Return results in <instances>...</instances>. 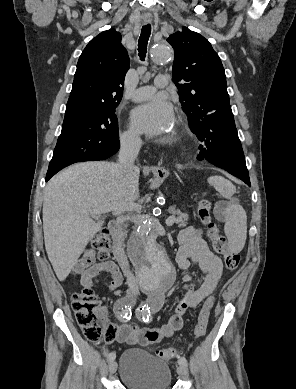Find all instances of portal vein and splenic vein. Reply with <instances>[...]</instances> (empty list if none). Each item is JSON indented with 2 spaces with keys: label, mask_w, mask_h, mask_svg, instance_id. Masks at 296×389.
I'll return each mask as SVG.
<instances>
[{
  "label": "portal vein and splenic vein",
  "mask_w": 296,
  "mask_h": 389,
  "mask_svg": "<svg viewBox=\"0 0 296 389\" xmlns=\"http://www.w3.org/2000/svg\"><path fill=\"white\" fill-rule=\"evenodd\" d=\"M141 206L134 202H115L111 205L105 206L101 209H97L93 211V214H102L113 211H128V210H140ZM175 222V216L172 215L166 220L167 226H172Z\"/></svg>",
  "instance_id": "obj_1"
}]
</instances>
